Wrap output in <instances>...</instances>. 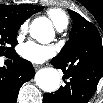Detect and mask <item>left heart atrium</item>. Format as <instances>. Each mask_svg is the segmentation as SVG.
<instances>
[{
    "instance_id": "obj_1",
    "label": "left heart atrium",
    "mask_w": 103,
    "mask_h": 103,
    "mask_svg": "<svg viewBox=\"0 0 103 103\" xmlns=\"http://www.w3.org/2000/svg\"><path fill=\"white\" fill-rule=\"evenodd\" d=\"M19 54L30 62L42 63L54 55V48L33 41H28L20 46Z\"/></svg>"
}]
</instances>
